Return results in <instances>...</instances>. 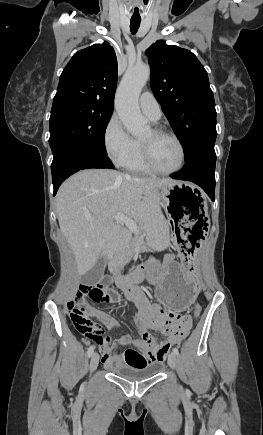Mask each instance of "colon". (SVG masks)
<instances>
[{"label": "colon", "instance_id": "5ec220e1", "mask_svg": "<svg viewBox=\"0 0 263 435\" xmlns=\"http://www.w3.org/2000/svg\"><path fill=\"white\" fill-rule=\"evenodd\" d=\"M109 282V278L104 277L100 283L89 286L83 285L80 290L83 291L86 297L95 302L110 303L115 300L116 295L108 288ZM68 310L76 330L87 339L94 341L97 350H113L114 348L116 350H139L140 348H145V344H148L149 348H154V344L155 348H163V343H159V339L149 332L147 328H141L139 334H136V330H127V334H122L120 339H115V343L107 341L109 339L104 336V324L99 318L98 321H95L86 308L78 306L74 301L68 303ZM201 311V305L195 304L190 316L182 319V321H190L191 323L196 321ZM187 334L188 330H185L181 339Z\"/></svg>", "mask_w": 263, "mask_h": 435}]
</instances>
